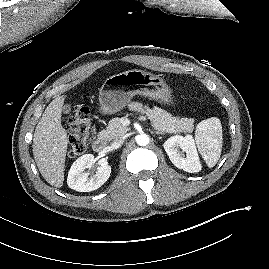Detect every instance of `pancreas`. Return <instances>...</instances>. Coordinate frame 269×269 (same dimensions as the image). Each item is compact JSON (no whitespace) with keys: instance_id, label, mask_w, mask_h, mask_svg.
Instances as JSON below:
<instances>
[{"instance_id":"pancreas-1","label":"pancreas","mask_w":269,"mask_h":269,"mask_svg":"<svg viewBox=\"0 0 269 269\" xmlns=\"http://www.w3.org/2000/svg\"><path fill=\"white\" fill-rule=\"evenodd\" d=\"M142 113L151 121L152 127L159 132L191 133L194 129V119L173 117L170 113L158 107L152 109L145 107ZM128 130L129 128L122 124L121 118L116 117L109 121L107 128L99 133V137L110 141L123 136Z\"/></svg>"}]
</instances>
